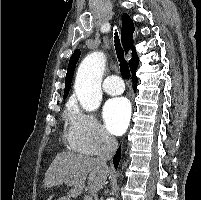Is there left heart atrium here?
<instances>
[{"label":"left heart atrium","mask_w":201,"mask_h":200,"mask_svg":"<svg viewBox=\"0 0 201 200\" xmlns=\"http://www.w3.org/2000/svg\"><path fill=\"white\" fill-rule=\"evenodd\" d=\"M131 108L128 100L123 97L113 98L103 108V119L110 133L122 134L129 123Z\"/></svg>","instance_id":"obj_1"}]
</instances>
